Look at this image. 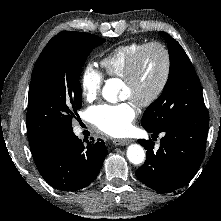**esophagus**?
Returning <instances> with one entry per match:
<instances>
[{
    "mask_svg": "<svg viewBox=\"0 0 221 221\" xmlns=\"http://www.w3.org/2000/svg\"><path fill=\"white\" fill-rule=\"evenodd\" d=\"M131 142L130 139H114L113 140V144L115 146H124V145H128Z\"/></svg>",
    "mask_w": 221,
    "mask_h": 221,
    "instance_id": "esophagus-1",
    "label": "esophagus"
}]
</instances>
